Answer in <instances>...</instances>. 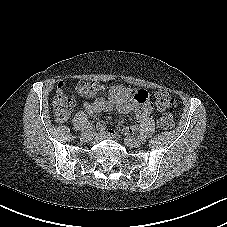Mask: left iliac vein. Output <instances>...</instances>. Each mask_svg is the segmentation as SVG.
<instances>
[{"mask_svg":"<svg viewBox=\"0 0 227 227\" xmlns=\"http://www.w3.org/2000/svg\"><path fill=\"white\" fill-rule=\"evenodd\" d=\"M124 141L130 147H139L143 144V141L140 138H133L130 136H126Z\"/></svg>","mask_w":227,"mask_h":227,"instance_id":"1","label":"left iliac vein"}]
</instances>
